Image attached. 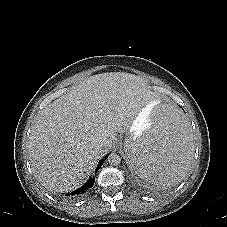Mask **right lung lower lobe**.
<instances>
[{
    "instance_id": "98d812e1",
    "label": "right lung lower lobe",
    "mask_w": 227,
    "mask_h": 227,
    "mask_svg": "<svg viewBox=\"0 0 227 227\" xmlns=\"http://www.w3.org/2000/svg\"><path fill=\"white\" fill-rule=\"evenodd\" d=\"M107 157V156H106ZM105 157V158H106ZM104 163V159L99 161V165L96 169L95 172H97L99 170V168L101 167V165ZM95 182V177H90L89 180L84 184V186H82L81 188L71 192L70 194L67 195L68 199H74L77 197L82 196L89 188H92Z\"/></svg>"
}]
</instances>
